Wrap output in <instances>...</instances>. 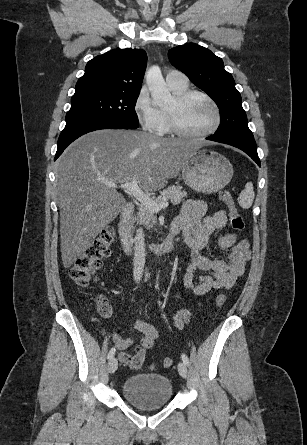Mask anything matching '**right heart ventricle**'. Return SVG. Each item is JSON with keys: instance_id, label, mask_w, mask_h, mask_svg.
I'll return each instance as SVG.
<instances>
[{"instance_id": "1", "label": "right heart ventricle", "mask_w": 307, "mask_h": 445, "mask_svg": "<svg viewBox=\"0 0 307 445\" xmlns=\"http://www.w3.org/2000/svg\"><path fill=\"white\" fill-rule=\"evenodd\" d=\"M170 86V85H169ZM170 89L172 90V92L174 94H181L183 92H185L187 90V86L185 87H174V86H170ZM163 130H167L168 126H167V122L163 119V126H162Z\"/></svg>"}]
</instances>
